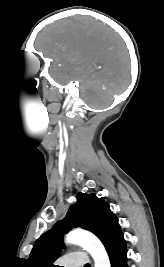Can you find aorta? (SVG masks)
<instances>
[{"label": "aorta", "instance_id": "aorta-1", "mask_svg": "<svg viewBox=\"0 0 164 267\" xmlns=\"http://www.w3.org/2000/svg\"><path fill=\"white\" fill-rule=\"evenodd\" d=\"M65 243L79 245L86 250L94 260V267H110V260L103 244L92 233L73 230L66 235Z\"/></svg>", "mask_w": 164, "mask_h": 267}]
</instances>
